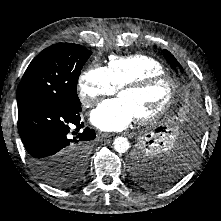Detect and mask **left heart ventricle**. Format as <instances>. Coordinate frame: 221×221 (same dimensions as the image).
Here are the masks:
<instances>
[{"instance_id":"left-heart-ventricle-1","label":"left heart ventricle","mask_w":221,"mask_h":221,"mask_svg":"<svg viewBox=\"0 0 221 221\" xmlns=\"http://www.w3.org/2000/svg\"><path fill=\"white\" fill-rule=\"evenodd\" d=\"M171 94V85L167 80H161L149 87L119 93V98L125 100L131 107L135 118L151 115L161 109Z\"/></svg>"}]
</instances>
